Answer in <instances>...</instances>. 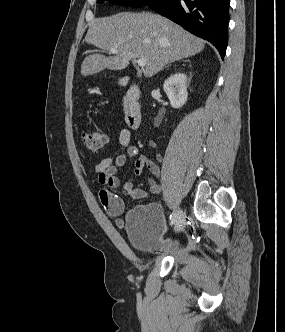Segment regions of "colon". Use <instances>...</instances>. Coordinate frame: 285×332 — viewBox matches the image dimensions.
Returning a JSON list of instances; mask_svg holds the SVG:
<instances>
[{"mask_svg":"<svg viewBox=\"0 0 285 332\" xmlns=\"http://www.w3.org/2000/svg\"><path fill=\"white\" fill-rule=\"evenodd\" d=\"M82 144L93 152H100L104 149L107 137L104 133L98 131H87L81 135Z\"/></svg>","mask_w":285,"mask_h":332,"instance_id":"1","label":"colon"}]
</instances>
